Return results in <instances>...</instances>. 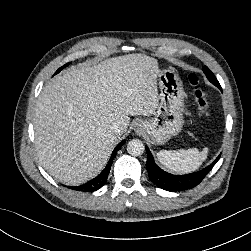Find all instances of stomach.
Returning a JSON list of instances; mask_svg holds the SVG:
<instances>
[{
	"instance_id": "0dacf381",
	"label": "stomach",
	"mask_w": 251,
	"mask_h": 251,
	"mask_svg": "<svg viewBox=\"0 0 251 251\" xmlns=\"http://www.w3.org/2000/svg\"><path fill=\"white\" fill-rule=\"evenodd\" d=\"M157 80L160 89L157 110L151 119L139 120L136 128L148 135L153 144H164L182 130L185 93L174 70H160Z\"/></svg>"
}]
</instances>
